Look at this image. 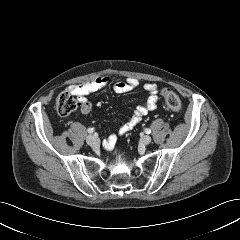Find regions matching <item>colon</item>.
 I'll list each match as a JSON object with an SVG mask.
<instances>
[{
  "instance_id": "obj_1",
  "label": "colon",
  "mask_w": 240,
  "mask_h": 240,
  "mask_svg": "<svg viewBox=\"0 0 240 240\" xmlns=\"http://www.w3.org/2000/svg\"><path fill=\"white\" fill-rule=\"evenodd\" d=\"M163 97L167 106L175 112H178L181 109V100L178 95L169 88H164L162 90ZM58 112L62 116H67L74 112L79 104L78 102L68 93H61L57 97L56 101Z\"/></svg>"
}]
</instances>
